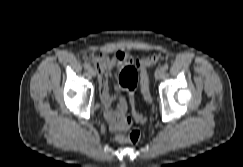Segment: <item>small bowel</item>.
Listing matches in <instances>:
<instances>
[{
  "label": "small bowel",
  "instance_id": "obj_1",
  "mask_svg": "<svg viewBox=\"0 0 243 167\" xmlns=\"http://www.w3.org/2000/svg\"><path fill=\"white\" fill-rule=\"evenodd\" d=\"M93 62L99 73V94L105 107L104 115L110 127L124 117L127 105L123 97L119 95L121 87L118 83L114 85L115 94H111L109 80L114 70H119L133 62L129 52L116 51L112 55L100 54L93 58ZM136 112L134 118L138 121Z\"/></svg>",
  "mask_w": 243,
  "mask_h": 167
}]
</instances>
